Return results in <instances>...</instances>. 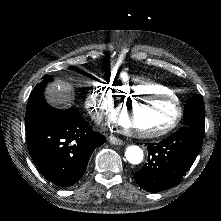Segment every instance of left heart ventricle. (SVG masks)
<instances>
[{
  "label": "left heart ventricle",
  "mask_w": 221,
  "mask_h": 221,
  "mask_svg": "<svg viewBox=\"0 0 221 221\" xmlns=\"http://www.w3.org/2000/svg\"><path fill=\"white\" fill-rule=\"evenodd\" d=\"M114 118L127 125L132 133L161 126L173 115V106L163 98L140 99L132 104H118L113 111Z\"/></svg>",
  "instance_id": "b2bd125f"
}]
</instances>
